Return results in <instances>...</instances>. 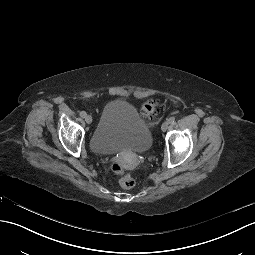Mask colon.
I'll return each instance as SVG.
<instances>
[{"mask_svg": "<svg viewBox=\"0 0 255 255\" xmlns=\"http://www.w3.org/2000/svg\"><path fill=\"white\" fill-rule=\"evenodd\" d=\"M160 104L156 101H147L141 106V114L143 116H151L159 111ZM113 172L119 176V184L122 188L130 189L135 185L134 176L125 171L124 166L120 162L112 164Z\"/></svg>", "mask_w": 255, "mask_h": 255, "instance_id": "5ec220e1", "label": "colon"}]
</instances>
